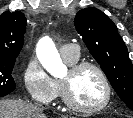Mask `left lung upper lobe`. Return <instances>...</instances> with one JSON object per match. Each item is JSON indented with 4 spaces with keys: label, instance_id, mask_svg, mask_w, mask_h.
<instances>
[{
    "label": "left lung upper lobe",
    "instance_id": "left-lung-upper-lobe-1",
    "mask_svg": "<svg viewBox=\"0 0 133 118\" xmlns=\"http://www.w3.org/2000/svg\"><path fill=\"white\" fill-rule=\"evenodd\" d=\"M74 25L118 96L133 110V67L116 25L93 7L80 10Z\"/></svg>",
    "mask_w": 133,
    "mask_h": 118
}]
</instances>
